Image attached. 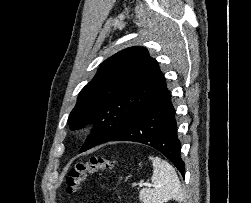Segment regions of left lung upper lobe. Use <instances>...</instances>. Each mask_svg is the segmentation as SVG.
<instances>
[{"label": "left lung upper lobe", "instance_id": "obj_1", "mask_svg": "<svg viewBox=\"0 0 251 203\" xmlns=\"http://www.w3.org/2000/svg\"><path fill=\"white\" fill-rule=\"evenodd\" d=\"M164 83L156 60L143 47L126 48L105 60L81 90L68 119L71 129L85 122L96 125L81 152L119 133L154 100Z\"/></svg>", "mask_w": 251, "mask_h": 203}]
</instances>
